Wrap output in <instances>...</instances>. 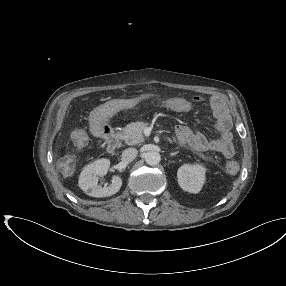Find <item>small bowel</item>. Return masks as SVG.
<instances>
[{"label":"small bowel","instance_id":"small-bowel-1","mask_svg":"<svg viewBox=\"0 0 286 286\" xmlns=\"http://www.w3.org/2000/svg\"><path fill=\"white\" fill-rule=\"evenodd\" d=\"M196 101H200L196 99ZM166 107L175 112L186 113L191 111L192 102L182 98H172L166 101ZM210 106L217 118V130L219 137L210 139L203 132H194L187 126L180 125L176 128V136L180 143L188 144L198 151L216 152L225 158H232L235 154L233 135L231 132L232 120L224 99L214 96L210 100Z\"/></svg>","mask_w":286,"mask_h":286}]
</instances>
